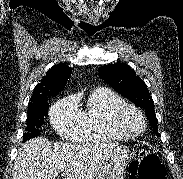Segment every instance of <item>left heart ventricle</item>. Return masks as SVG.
I'll use <instances>...</instances> for the list:
<instances>
[{"instance_id": "left-heart-ventricle-1", "label": "left heart ventricle", "mask_w": 183, "mask_h": 179, "mask_svg": "<svg viewBox=\"0 0 183 179\" xmlns=\"http://www.w3.org/2000/svg\"><path fill=\"white\" fill-rule=\"evenodd\" d=\"M122 126L126 131L134 133L141 129L142 122L135 112L128 111L122 119Z\"/></svg>"}]
</instances>
